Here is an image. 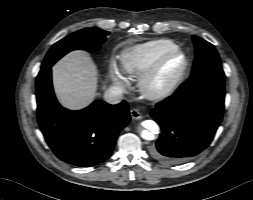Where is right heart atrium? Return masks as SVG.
<instances>
[{
  "label": "right heart atrium",
  "instance_id": "d8ad5b80",
  "mask_svg": "<svg viewBox=\"0 0 253 200\" xmlns=\"http://www.w3.org/2000/svg\"><path fill=\"white\" fill-rule=\"evenodd\" d=\"M108 74L112 83L119 89H125L126 81L118 66L114 62L108 65Z\"/></svg>",
  "mask_w": 253,
  "mask_h": 200
}]
</instances>
